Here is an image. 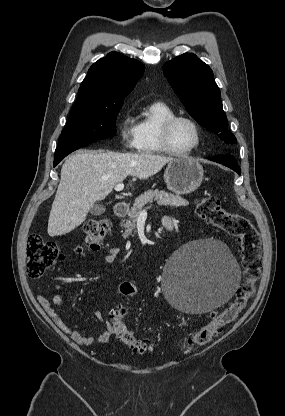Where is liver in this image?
<instances>
[{
	"label": "liver",
	"mask_w": 285,
	"mask_h": 416,
	"mask_svg": "<svg viewBox=\"0 0 285 416\" xmlns=\"http://www.w3.org/2000/svg\"><path fill=\"white\" fill-rule=\"evenodd\" d=\"M173 158L156 154H118L101 150H78L65 160L61 180L52 204L48 234L63 236L85 222L95 202L105 200L127 176L147 180Z\"/></svg>",
	"instance_id": "liver-1"
}]
</instances>
